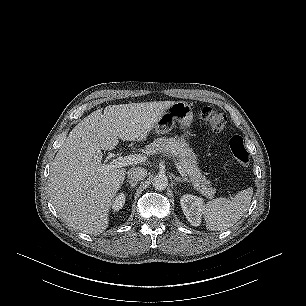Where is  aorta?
<instances>
[{
  "label": "aorta",
  "mask_w": 306,
  "mask_h": 306,
  "mask_svg": "<svg viewBox=\"0 0 306 306\" xmlns=\"http://www.w3.org/2000/svg\"><path fill=\"white\" fill-rule=\"evenodd\" d=\"M152 184L156 190H164L168 186V178L164 174H158L153 178Z\"/></svg>",
  "instance_id": "aorta-1"
}]
</instances>
